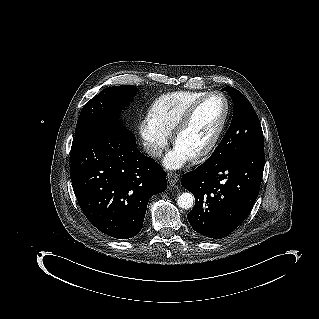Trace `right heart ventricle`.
I'll list each match as a JSON object with an SVG mask.
<instances>
[{
	"instance_id": "1",
	"label": "right heart ventricle",
	"mask_w": 319,
	"mask_h": 319,
	"mask_svg": "<svg viewBox=\"0 0 319 319\" xmlns=\"http://www.w3.org/2000/svg\"><path fill=\"white\" fill-rule=\"evenodd\" d=\"M205 95L199 91H177L160 96L152 105L147 121L165 132H170L187 109Z\"/></svg>"
}]
</instances>
